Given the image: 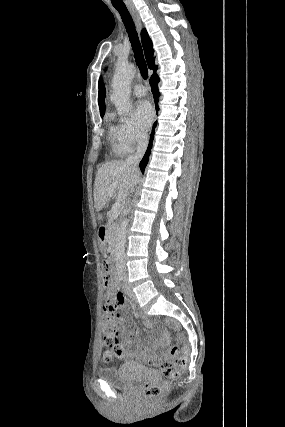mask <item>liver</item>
Here are the masks:
<instances>
[{
	"mask_svg": "<svg viewBox=\"0 0 285 427\" xmlns=\"http://www.w3.org/2000/svg\"><path fill=\"white\" fill-rule=\"evenodd\" d=\"M140 173L126 163V161H111L103 164L97 171L94 182V203L98 212V220H103L99 212L114 194L117 202L125 203L134 185L139 179ZM116 184L113 194L110 188Z\"/></svg>",
	"mask_w": 285,
	"mask_h": 427,
	"instance_id": "1",
	"label": "liver"
}]
</instances>
